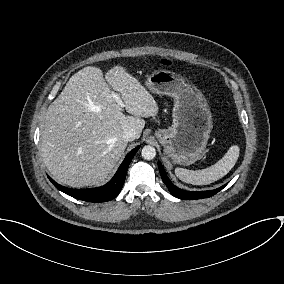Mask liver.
<instances>
[{
    "instance_id": "6515ba94",
    "label": "liver",
    "mask_w": 284,
    "mask_h": 284,
    "mask_svg": "<svg viewBox=\"0 0 284 284\" xmlns=\"http://www.w3.org/2000/svg\"><path fill=\"white\" fill-rule=\"evenodd\" d=\"M111 88L124 102L111 97ZM153 96L122 66L103 77L101 69L87 66L75 73L50 104L41 134V155L52 176L74 188L103 184L115 171L127 147L122 135L132 128L139 138L143 118L155 116Z\"/></svg>"
}]
</instances>
